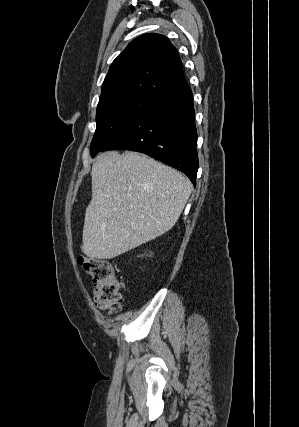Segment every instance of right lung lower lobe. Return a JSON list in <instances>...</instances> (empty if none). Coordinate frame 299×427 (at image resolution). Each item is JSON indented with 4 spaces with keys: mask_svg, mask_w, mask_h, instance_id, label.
Instances as JSON below:
<instances>
[{
    "mask_svg": "<svg viewBox=\"0 0 299 427\" xmlns=\"http://www.w3.org/2000/svg\"><path fill=\"white\" fill-rule=\"evenodd\" d=\"M197 132L193 96L189 86L167 93L104 150L145 153L185 173L194 186L198 170Z\"/></svg>",
    "mask_w": 299,
    "mask_h": 427,
    "instance_id": "right-lung-lower-lobe-1",
    "label": "right lung lower lobe"
}]
</instances>
